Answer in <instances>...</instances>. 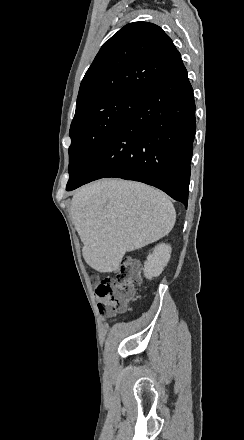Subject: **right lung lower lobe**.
Returning a JSON list of instances; mask_svg holds the SVG:
<instances>
[{"label": "right lung lower lobe", "instance_id": "98d812e1", "mask_svg": "<svg viewBox=\"0 0 244 440\" xmlns=\"http://www.w3.org/2000/svg\"><path fill=\"white\" fill-rule=\"evenodd\" d=\"M195 103L186 68L148 90L68 188L117 177L143 182L187 207L195 137Z\"/></svg>", "mask_w": 244, "mask_h": 440}]
</instances>
